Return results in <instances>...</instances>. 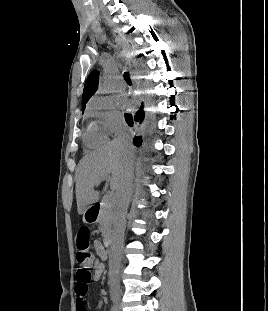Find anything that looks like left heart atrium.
I'll return each instance as SVG.
<instances>
[{
  "instance_id": "39dd6f15",
  "label": "left heart atrium",
  "mask_w": 268,
  "mask_h": 311,
  "mask_svg": "<svg viewBox=\"0 0 268 311\" xmlns=\"http://www.w3.org/2000/svg\"><path fill=\"white\" fill-rule=\"evenodd\" d=\"M118 103L122 105L123 107L128 105V103L125 100H119Z\"/></svg>"
}]
</instances>
